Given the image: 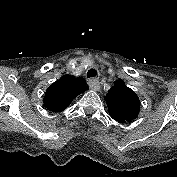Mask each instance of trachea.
<instances>
[{
    "label": "trachea",
    "mask_w": 177,
    "mask_h": 177,
    "mask_svg": "<svg viewBox=\"0 0 177 177\" xmlns=\"http://www.w3.org/2000/svg\"><path fill=\"white\" fill-rule=\"evenodd\" d=\"M97 75V71L95 69H90L88 72H87V77L88 78H91V77H95Z\"/></svg>",
    "instance_id": "trachea-1"
}]
</instances>
